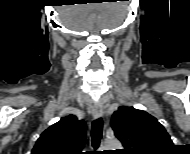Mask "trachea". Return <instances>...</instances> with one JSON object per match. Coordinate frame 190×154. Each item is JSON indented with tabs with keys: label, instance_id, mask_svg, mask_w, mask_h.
<instances>
[{
	"label": "trachea",
	"instance_id": "3493384b",
	"mask_svg": "<svg viewBox=\"0 0 190 154\" xmlns=\"http://www.w3.org/2000/svg\"><path fill=\"white\" fill-rule=\"evenodd\" d=\"M102 132H103V121L102 118H98L93 121L92 127H91V139H92V146L94 148V151H92L94 154L98 153L99 151H96L100 145V141L102 138Z\"/></svg>",
	"mask_w": 190,
	"mask_h": 154
}]
</instances>
